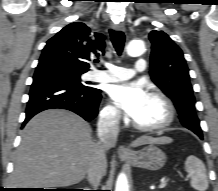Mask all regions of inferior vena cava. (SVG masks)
Listing matches in <instances>:
<instances>
[{
	"label": "inferior vena cava",
	"mask_w": 218,
	"mask_h": 191,
	"mask_svg": "<svg viewBox=\"0 0 218 191\" xmlns=\"http://www.w3.org/2000/svg\"><path fill=\"white\" fill-rule=\"evenodd\" d=\"M120 114L108 112L100 116L98 121V149L88 170V181L92 187L100 185L102 177L106 173V152L115 146L119 132Z\"/></svg>",
	"instance_id": "inferior-vena-cava-1"
}]
</instances>
